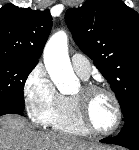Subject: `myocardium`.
I'll list each match as a JSON object with an SVG mask.
<instances>
[{"label":"myocardium","instance_id":"obj_1","mask_svg":"<svg viewBox=\"0 0 139 150\" xmlns=\"http://www.w3.org/2000/svg\"><path fill=\"white\" fill-rule=\"evenodd\" d=\"M99 93L108 95L112 99L116 110L115 124L111 129L105 131L96 129L93 126L89 117L90 100L94 95ZM74 99L76 103V109H77V115L79 121L89 133L98 136H109L114 134L120 128L123 119L122 106L119 98L112 90L99 85L87 84L82 87L81 92L79 94L74 96Z\"/></svg>","mask_w":139,"mask_h":150}]
</instances>
